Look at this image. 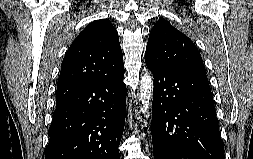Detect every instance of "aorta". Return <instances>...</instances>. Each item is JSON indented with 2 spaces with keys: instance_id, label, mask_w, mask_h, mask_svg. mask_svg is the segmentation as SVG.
<instances>
[{
  "instance_id": "aorta-1",
  "label": "aorta",
  "mask_w": 253,
  "mask_h": 159,
  "mask_svg": "<svg viewBox=\"0 0 253 159\" xmlns=\"http://www.w3.org/2000/svg\"><path fill=\"white\" fill-rule=\"evenodd\" d=\"M153 87V77L148 70H145L140 79V112L146 117L148 116L150 109V100L153 95Z\"/></svg>"
}]
</instances>
